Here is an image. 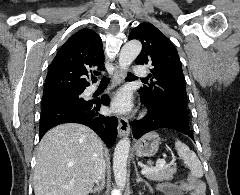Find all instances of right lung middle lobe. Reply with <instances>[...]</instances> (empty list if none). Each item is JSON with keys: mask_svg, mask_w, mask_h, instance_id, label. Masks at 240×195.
I'll return each instance as SVG.
<instances>
[{"mask_svg": "<svg viewBox=\"0 0 240 195\" xmlns=\"http://www.w3.org/2000/svg\"><path fill=\"white\" fill-rule=\"evenodd\" d=\"M84 90L79 91H64V92H57L53 94L43 95L42 97V107L56 103V102H85L81 97V94Z\"/></svg>", "mask_w": 240, "mask_h": 195, "instance_id": "right-lung-middle-lobe-1", "label": "right lung middle lobe"}]
</instances>
